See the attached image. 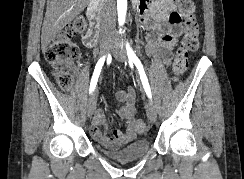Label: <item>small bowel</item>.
<instances>
[{
	"instance_id": "obj_1",
	"label": "small bowel",
	"mask_w": 244,
	"mask_h": 179,
	"mask_svg": "<svg viewBox=\"0 0 244 179\" xmlns=\"http://www.w3.org/2000/svg\"><path fill=\"white\" fill-rule=\"evenodd\" d=\"M139 22L146 31V55L156 61L169 64L173 57L176 38L181 34L178 15L172 0L141 1L136 9ZM87 47H93L89 35L82 39ZM118 99L123 105L117 115L125 124L124 130H109L111 120L103 111L96 109L92 122L94 137L104 146L118 147L131 142L136 135L135 129V91L132 88L119 91Z\"/></svg>"
}]
</instances>
